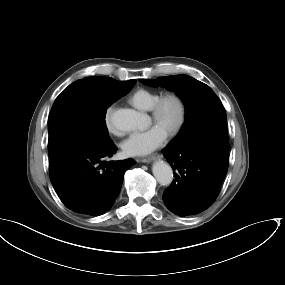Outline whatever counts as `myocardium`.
Returning a JSON list of instances; mask_svg holds the SVG:
<instances>
[{"label":"myocardium","instance_id":"obj_1","mask_svg":"<svg viewBox=\"0 0 285 285\" xmlns=\"http://www.w3.org/2000/svg\"><path fill=\"white\" fill-rule=\"evenodd\" d=\"M174 101L176 102L179 110L178 118L173 126H171L167 130V134L169 136H175L177 135L183 128L186 119H187V105L184 100V98L176 93V92H169L166 93L158 98V100L153 104V106L150 109L152 119L155 122H158L161 118L162 111L164 106L167 102Z\"/></svg>","mask_w":285,"mask_h":285}]
</instances>
